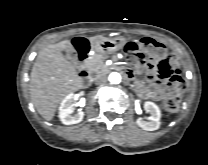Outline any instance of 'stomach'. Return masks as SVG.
Instances as JSON below:
<instances>
[{"label":"stomach","mask_w":208,"mask_h":165,"mask_svg":"<svg viewBox=\"0 0 208 165\" xmlns=\"http://www.w3.org/2000/svg\"><path fill=\"white\" fill-rule=\"evenodd\" d=\"M92 50L98 53H111L122 49L126 39L120 36L113 38L97 39L90 42Z\"/></svg>","instance_id":"stomach-1"}]
</instances>
